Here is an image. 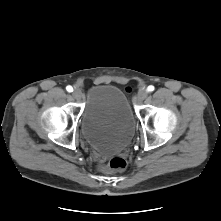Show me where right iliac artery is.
I'll return each instance as SVG.
<instances>
[{
    "label": "right iliac artery",
    "instance_id": "right-iliac-artery-1",
    "mask_svg": "<svg viewBox=\"0 0 221 221\" xmlns=\"http://www.w3.org/2000/svg\"><path fill=\"white\" fill-rule=\"evenodd\" d=\"M66 90H67L68 92H72V91H73V88H72V86H67V87H66Z\"/></svg>",
    "mask_w": 221,
    "mask_h": 221
}]
</instances>
